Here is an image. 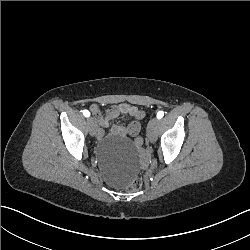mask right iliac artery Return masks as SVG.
<instances>
[{
  "instance_id": "obj_1",
  "label": "right iliac artery",
  "mask_w": 250,
  "mask_h": 250,
  "mask_svg": "<svg viewBox=\"0 0 250 250\" xmlns=\"http://www.w3.org/2000/svg\"><path fill=\"white\" fill-rule=\"evenodd\" d=\"M83 115L85 117H89L90 116V112L88 110H83Z\"/></svg>"
}]
</instances>
